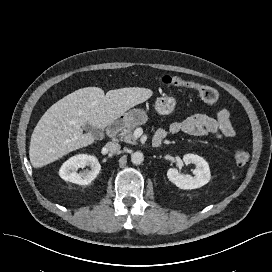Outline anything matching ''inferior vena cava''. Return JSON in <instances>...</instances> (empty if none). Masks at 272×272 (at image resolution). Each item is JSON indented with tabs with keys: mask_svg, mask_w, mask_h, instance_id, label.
Wrapping results in <instances>:
<instances>
[{
	"mask_svg": "<svg viewBox=\"0 0 272 272\" xmlns=\"http://www.w3.org/2000/svg\"><path fill=\"white\" fill-rule=\"evenodd\" d=\"M105 149L112 154H117L120 151V145L116 142H108Z\"/></svg>",
	"mask_w": 272,
	"mask_h": 272,
	"instance_id": "1",
	"label": "inferior vena cava"
}]
</instances>
